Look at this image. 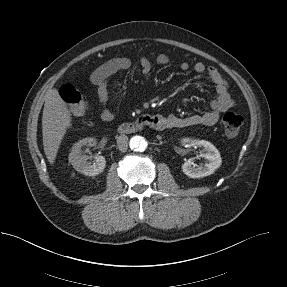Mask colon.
<instances>
[{
    "mask_svg": "<svg viewBox=\"0 0 287 287\" xmlns=\"http://www.w3.org/2000/svg\"><path fill=\"white\" fill-rule=\"evenodd\" d=\"M60 96L71 106L74 114L82 115L86 111L85 97L74 86L69 84L62 86ZM222 125L228 137H235L243 125V118L235 112H227L223 116Z\"/></svg>",
    "mask_w": 287,
    "mask_h": 287,
    "instance_id": "1",
    "label": "colon"
}]
</instances>
